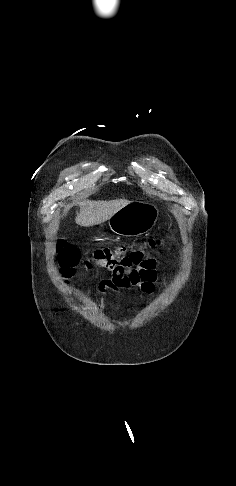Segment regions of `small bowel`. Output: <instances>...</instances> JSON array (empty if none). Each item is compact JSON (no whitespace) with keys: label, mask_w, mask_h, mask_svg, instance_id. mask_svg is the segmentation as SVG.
<instances>
[{"label":"small bowel","mask_w":236,"mask_h":486,"mask_svg":"<svg viewBox=\"0 0 236 486\" xmlns=\"http://www.w3.org/2000/svg\"><path fill=\"white\" fill-rule=\"evenodd\" d=\"M157 278L156 261L140 255L124 261L111 278L102 280L99 291L106 296L109 292L120 294L124 289L139 287L144 293L152 294Z\"/></svg>","instance_id":"1"}]
</instances>
